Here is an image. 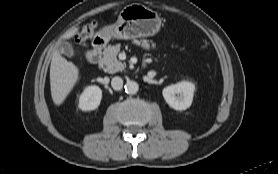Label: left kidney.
Masks as SVG:
<instances>
[{
	"label": "left kidney",
	"instance_id": "left-kidney-1",
	"mask_svg": "<svg viewBox=\"0 0 278 174\" xmlns=\"http://www.w3.org/2000/svg\"><path fill=\"white\" fill-rule=\"evenodd\" d=\"M195 85L182 81L163 89L162 94L167 104L175 110H186L193 101Z\"/></svg>",
	"mask_w": 278,
	"mask_h": 174
}]
</instances>
